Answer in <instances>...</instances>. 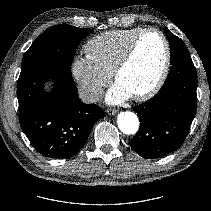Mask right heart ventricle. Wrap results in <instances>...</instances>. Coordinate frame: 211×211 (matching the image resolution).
Here are the masks:
<instances>
[{
    "label": "right heart ventricle",
    "instance_id": "obj_1",
    "mask_svg": "<svg viewBox=\"0 0 211 211\" xmlns=\"http://www.w3.org/2000/svg\"><path fill=\"white\" fill-rule=\"evenodd\" d=\"M142 29L135 27L112 30L94 36L85 45L87 55L100 69L112 75L114 67Z\"/></svg>",
    "mask_w": 211,
    "mask_h": 211
}]
</instances>
